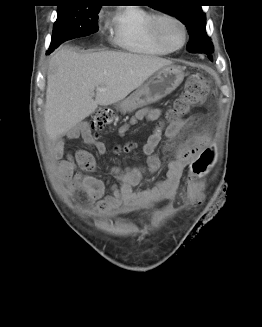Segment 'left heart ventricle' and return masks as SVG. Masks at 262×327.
Instances as JSON below:
<instances>
[{
  "instance_id": "1",
  "label": "left heart ventricle",
  "mask_w": 262,
  "mask_h": 327,
  "mask_svg": "<svg viewBox=\"0 0 262 327\" xmlns=\"http://www.w3.org/2000/svg\"><path fill=\"white\" fill-rule=\"evenodd\" d=\"M162 33L166 40L173 46H179L183 40V33L179 25L172 21L162 23Z\"/></svg>"
}]
</instances>
